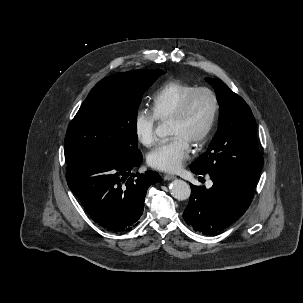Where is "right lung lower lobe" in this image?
<instances>
[{
    "label": "right lung lower lobe",
    "mask_w": 303,
    "mask_h": 303,
    "mask_svg": "<svg viewBox=\"0 0 303 303\" xmlns=\"http://www.w3.org/2000/svg\"><path fill=\"white\" fill-rule=\"evenodd\" d=\"M141 162L142 157L126 161L88 151L67 162L66 180L96 223L112 232H127L139 223L147 189L160 180L153 171L128 178Z\"/></svg>",
    "instance_id": "1"
}]
</instances>
